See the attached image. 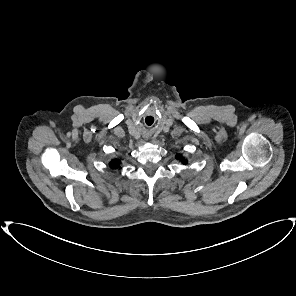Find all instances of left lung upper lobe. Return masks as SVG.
Wrapping results in <instances>:
<instances>
[{"label": "left lung upper lobe", "mask_w": 296, "mask_h": 296, "mask_svg": "<svg viewBox=\"0 0 296 296\" xmlns=\"http://www.w3.org/2000/svg\"><path fill=\"white\" fill-rule=\"evenodd\" d=\"M180 157H181V155H177V156H176L177 159H180ZM181 161H182L183 164H185V163L187 162V160H185V159H183V158L181 159Z\"/></svg>", "instance_id": "left-lung-upper-lobe-1"}]
</instances>
